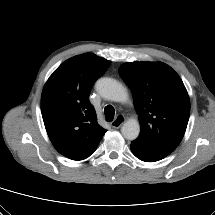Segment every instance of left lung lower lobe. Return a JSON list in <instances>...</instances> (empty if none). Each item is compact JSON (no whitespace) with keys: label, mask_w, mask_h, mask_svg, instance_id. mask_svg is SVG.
<instances>
[{"label":"left lung lower lobe","mask_w":215,"mask_h":215,"mask_svg":"<svg viewBox=\"0 0 215 215\" xmlns=\"http://www.w3.org/2000/svg\"><path fill=\"white\" fill-rule=\"evenodd\" d=\"M132 153L140 160L145 162H155L165 158V155L156 153L152 150H149L139 144L131 143L130 145Z\"/></svg>","instance_id":"0a47b994"}]
</instances>
